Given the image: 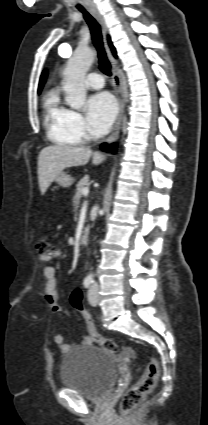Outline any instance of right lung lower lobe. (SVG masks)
I'll use <instances>...</instances> for the list:
<instances>
[{"label": "right lung lower lobe", "mask_w": 208, "mask_h": 425, "mask_svg": "<svg viewBox=\"0 0 208 425\" xmlns=\"http://www.w3.org/2000/svg\"><path fill=\"white\" fill-rule=\"evenodd\" d=\"M101 149L106 151V152L114 153V152H116V144H111V145L102 144Z\"/></svg>", "instance_id": "98d812e1"}]
</instances>
